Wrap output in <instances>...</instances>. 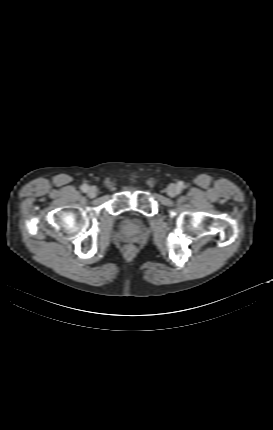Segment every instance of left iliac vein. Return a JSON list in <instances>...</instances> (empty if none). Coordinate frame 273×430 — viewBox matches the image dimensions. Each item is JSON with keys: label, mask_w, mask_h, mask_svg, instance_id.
I'll return each mask as SVG.
<instances>
[{"label": "left iliac vein", "mask_w": 273, "mask_h": 430, "mask_svg": "<svg viewBox=\"0 0 273 430\" xmlns=\"http://www.w3.org/2000/svg\"><path fill=\"white\" fill-rule=\"evenodd\" d=\"M167 193L169 196L174 197V196L178 195L179 189L176 185L171 184L167 188Z\"/></svg>", "instance_id": "4c4485c4"}]
</instances>
